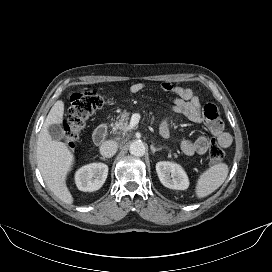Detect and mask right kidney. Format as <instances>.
I'll return each mask as SVG.
<instances>
[{
  "label": "right kidney",
  "instance_id": "1",
  "mask_svg": "<svg viewBox=\"0 0 272 272\" xmlns=\"http://www.w3.org/2000/svg\"><path fill=\"white\" fill-rule=\"evenodd\" d=\"M108 175V166L103 163H91L81 167L75 175L79 190L93 192L102 187Z\"/></svg>",
  "mask_w": 272,
  "mask_h": 272
}]
</instances>
